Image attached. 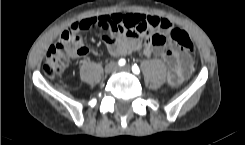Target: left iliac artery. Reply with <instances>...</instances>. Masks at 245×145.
<instances>
[{"label": "left iliac artery", "instance_id": "obj_1", "mask_svg": "<svg viewBox=\"0 0 245 145\" xmlns=\"http://www.w3.org/2000/svg\"><path fill=\"white\" fill-rule=\"evenodd\" d=\"M132 71H133V73H135V74H139V73H140V69H139V67H138L136 64H134V65L132 66Z\"/></svg>", "mask_w": 245, "mask_h": 145}]
</instances>
